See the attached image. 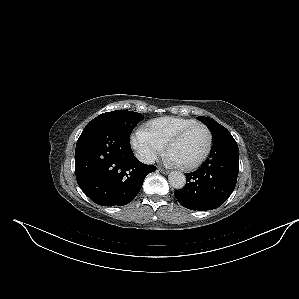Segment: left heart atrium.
Here are the masks:
<instances>
[{"instance_id":"1","label":"left heart atrium","mask_w":299,"mask_h":299,"mask_svg":"<svg viewBox=\"0 0 299 299\" xmlns=\"http://www.w3.org/2000/svg\"><path fill=\"white\" fill-rule=\"evenodd\" d=\"M166 161L169 163V164H172V165H180V163L178 162V160L171 154V153H167L166 155Z\"/></svg>"}]
</instances>
